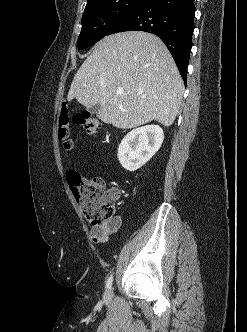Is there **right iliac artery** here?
Masks as SVG:
<instances>
[{
  "mask_svg": "<svg viewBox=\"0 0 247 332\" xmlns=\"http://www.w3.org/2000/svg\"><path fill=\"white\" fill-rule=\"evenodd\" d=\"M112 282H113V275H111V276L108 278L107 282H106V288H107V289H110V288H111V286H112Z\"/></svg>",
  "mask_w": 247,
  "mask_h": 332,
  "instance_id": "obj_1",
  "label": "right iliac artery"
}]
</instances>
